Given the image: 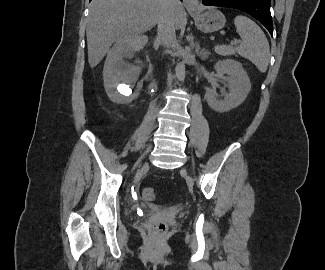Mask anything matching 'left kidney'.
I'll return each mask as SVG.
<instances>
[{
	"mask_svg": "<svg viewBox=\"0 0 325 270\" xmlns=\"http://www.w3.org/2000/svg\"><path fill=\"white\" fill-rule=\"evenodd\" d=\"M214 68L217 75L222 78L224 74L229 75V94L223 100L216 97L215 89H207L205 98L211 109L223 113L242 104L251 89L250 79L241 63L232 59L218 61Z\"/></svg>",
	"mask_w": 325,
	"mask_h": 270,
	"instance_id": "1",
	"label": "left kidney"
}]
</instances>
